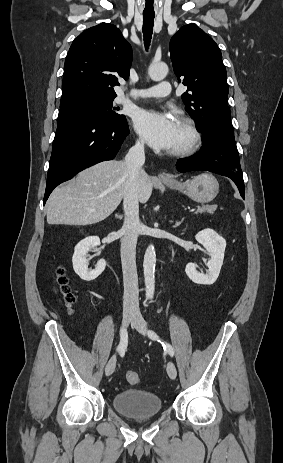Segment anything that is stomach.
<instances>
[{
	"mask_svg": "<svg viewBox=\"0 0 283 463\" xmlns=\"http://www.w3.org/2000/svg\"><path fill=\"white\" fill-rule=\"evenodd\" d=\"M170 189L179 191L199 203L212 201L219 192L217 179L209 173H202L186 182H163Z\"/></svg>",
	"mask_w": 283,
	"mask_h": 463,
	"instance_id": "0dacf381",
	"label": "stomach"
}]
</instances>
